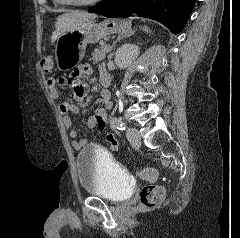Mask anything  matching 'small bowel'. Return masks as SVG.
<instances>
[{"label": "small bowel", "instance_id": "c3829d8e", "mask_svg": "<svg viewBox=\"0 0 240 238\" xmlns=\"http://www.w3.org/2000/svg\"><path fill=\"white\" fill-rule=\"evenodd\" d=\"M92 68L89 65H84L76 70L73 75L69 78L59 77L54 78L50 77L47 80V89L50 93V96L53 99L58 98V85H68L72 90L74 99L81 101L86 93L87 86L81 81L83 75L91 74ZM105 73L102 71V74ZM111 107L110 94L106 89L101 90V96L98 98L94 105L89 109H79L76 105L69 102H61L59 104V111L63 115V124L68 131V134L72 141V146L76 150L82 149L86 144V139H76L78 132L73 126V121L69 116V113L77 115H85L90 113V116L87 120V126L89 129L98 128L104 130L107 122V111ZM106 141L109 143L112 149L115 150L116 154L120 153L118 148H124V143H118V141L111 134L106 135Z\"/></svg>", "mask_w": 240, "mask_h": 238}]
</instances>
